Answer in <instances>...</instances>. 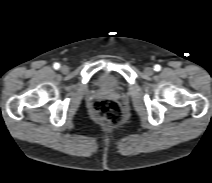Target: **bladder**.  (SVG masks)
I'll use <instances>...</instances> for the list:
<instances>
[{
  "instance_id": "31cf9c89",
  "label": "bladder",
  "mask_w": 212,
  "mask_h": 183,
  "mask_svg": "<svg viewBox=\"0 0 212 183\" xmlns=\"http://www.w3.org/2000/svg\"><path fill=\"white\" fill-rule=\"evenodd\" d=\"M99 86L105 90H115L118 88L117 82L109 76H102L99 80Z\"/></svg>"
}]
</instances>
